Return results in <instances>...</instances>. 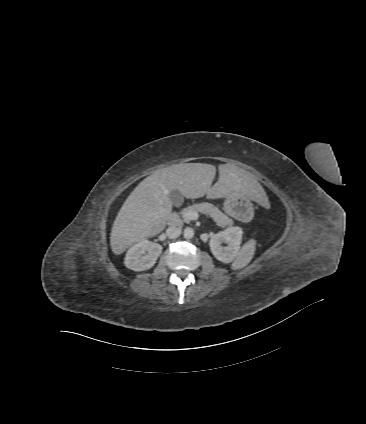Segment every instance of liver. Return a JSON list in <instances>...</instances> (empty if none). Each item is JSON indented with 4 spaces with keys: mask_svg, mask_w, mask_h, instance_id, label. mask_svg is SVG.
Returning a JSON list of instances; mask_svg holds the SVG:
<instances>
[{
    "mask_svg": "<svg viewBox=\"0 0 366 424\" xmlns=\"http://www.w3.org/2000/svg\"><path fill=\"white\" fill-rule=\"evenodd\" d=\"M218 168L219 179L213 186L216 167L204 163L175 164L146 177L128 196L113 223L112 252L122 254L133 244L164 230L172 211V190L188 199L236 196L260 201L264 189L253 174L232 164Z\"/></svg>",
    "mask_w": 366,
    "mask_h": 424,
    "instance_id": "6515ba94",
    "label": "liver"
}]
</instances>
